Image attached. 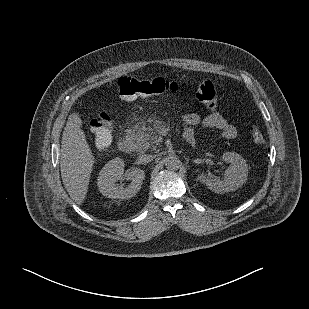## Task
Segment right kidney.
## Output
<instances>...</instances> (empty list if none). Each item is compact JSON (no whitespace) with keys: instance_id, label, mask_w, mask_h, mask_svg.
<instances>
[{"instance_id":"right-kidney-1","label":"right kidney","mask_w":309,"mask_h":309,"mask_svg":"<svg viewBox=\"0 0 309 309\" xmlns=\"http://www.w3.org/2000/svg\"><path fill=\"white\" fill-rule=\"evenodd\" d=\"M124 161L120 157L110 160L104 165L97 179L98 190L103 196L111 199H130L140 190L145 173L140 168H133L124 173ZM130 180L125 187L118 185V181Z\"/></svg>"}]
</instances>
